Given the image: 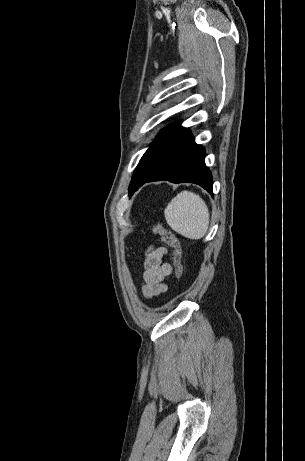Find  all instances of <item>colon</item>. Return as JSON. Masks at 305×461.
Wrapping results in <instances>:
<instances>
[{"label":"colon","mask_w":305,"mask_h":461,"mask_svg":"<svg viewBox=\"0 0 305 461\" xmlns=\"http://www.w3.org/2000/svg\"><path fill=\"white\" fill-rule=\"evenodd\" d=\"M152 232L158 235L161 240L173 250L175 275L177 279L183 276V250L178 237L169 229L160 224H155Z\"/></svg>","instance_id":"obj_1"}]
</instances>
